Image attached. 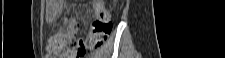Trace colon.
Segmentation results:
<instances>
[{
    "mask_svg": "<svg viewBox=\"0 0 225 58\" xmlns=\"http://www.w3.org/2000/svg\"><path fill=\"white\" fill-rule=\"evenodd\" d=\"M65 26L66 34H56L51 39L48 51L52 58H64L68 55L84 58L89 51L103 46L112 30L110 13L100 2L94 6L93 23L84 39L78 37L76 25L68 23Z\"/></svg>",
    "mask_w": 225,
    "mask_h": 58,
    "instance_id": "colon-1",
    "label": "colon"
}]
</instances>
